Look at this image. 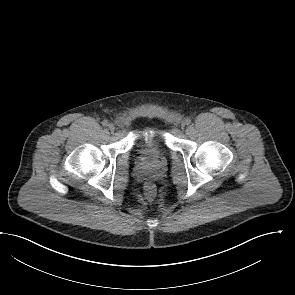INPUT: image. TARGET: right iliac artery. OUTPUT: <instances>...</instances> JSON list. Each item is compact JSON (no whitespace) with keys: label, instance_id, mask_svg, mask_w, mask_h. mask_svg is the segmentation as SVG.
<instances>
[{"label":"right iliac artery","instance_id":"1","mask_svg":"<svg viewBox=\"0 0 295 295\" xmlns=\"http://www.w3.org/2000/svg\"><path fill=\"white\" fill-rule=\"evenodd\" d=\"M102 125L105 126V127L108 126V125H109V124H108V121H107V120H104V121L102 122Z\"/></svg>","mask_w":295,"mask_h":295}]
</instances>
